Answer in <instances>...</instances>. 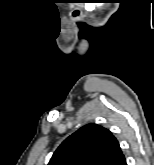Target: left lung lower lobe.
<instances>
[{"instance_id":"0a47b994","label":"left lung lower lobe","mask_w":154,"mask_h":165,"mask_svg":"<svg viewBox=\"0 0 154 165\" xmlns=\"http://www.w3.org/2000/svg\"><path fill=\"white\" fill-rule=\"evenodd\" d=\"M117 165H127V164H126L125 157H123V158L119 161V163H118Z\"/></svg>"}]
</instances>
